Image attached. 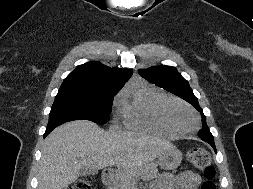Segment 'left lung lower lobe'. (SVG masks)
<instances>
[{
    "label": "left lung lower lobe",
    "instance_id": "left-lung-lower-lobe-1",
    "mask_svg": "<svg viewBox=\"0 0 253 189\" xmlns=\"http://www.w3.org/2000/svg\"><path fill=\"white\" fill-rule=\"evenodd\" d=\"M198 136H199L202 140H204V141H206L207 143H209V144L212 146V148L214 149V151L216 152V147H215V143H214V141H213V137L206 136V135H204V134H202V133H199Z\"/></svg>",
    "mask_w": 253,
    "mask_h": 189
}]
</instances>
